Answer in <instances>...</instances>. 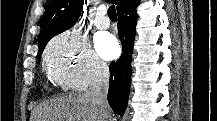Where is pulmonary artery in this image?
Masks as SVG:
<instances>
[{"label": "pulmonary artery", "mask_w": 217, "mask_h": 121, "mask_svg": "<svg viewBox=\"0 0 217 121\" xmlns=\"http://www.w3.org/2000/svg\"><path fill=\"white\" fill-rule=\"evenodd\" d=\"M94 23L96 27L101 30L107 29L110 26V20L107 17L105 11L103 10L97 11V15H96Z\"/></svg>", "instance_id": "pulmonary-artery-1"}]
</instances>
